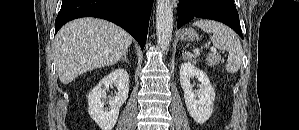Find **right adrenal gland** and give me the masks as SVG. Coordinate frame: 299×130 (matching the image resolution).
<instances>
[{
    "instance_id": "1",
    "label": "right adrenal gland",
    "mask_w": 299,
    "mask_h": 130,
    "mask_svg": "<svg viewBox=\"0 0 299 130\" xmlns=\"http://www.w3.org/2000/svg\"><path fill=\"white\" fill-rule=\"evenodd\" d=\"M125 61V62H127V63H129V61H128V59H127V54H125L124 56H123V58L121 59V61Z\"/></svg>"
}]
</instances>
